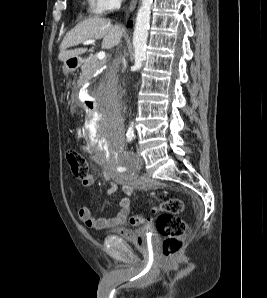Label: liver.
Listing matches in <instances>:
<instances>
[{"label": "liver", "instance_id": "1", "mask_svg": "<svg viewBox=\"0 0 267 298\" xmlns=\"http://www.w3.org/2000/svg\"><path fill=\"white\" fill-rule=\"evenodd\" d=\"M123 35V30L119 25H113L109 19L91 17L78 23L70 30L62 40L58 59L67 61L79 56L87 51V48L68 50V48L83 43L91 39H103L102 48L111 49L119 44Z\"/></svg>", "mask_w": 267, "mask_h": 298}]
</instances>
